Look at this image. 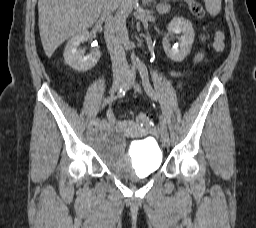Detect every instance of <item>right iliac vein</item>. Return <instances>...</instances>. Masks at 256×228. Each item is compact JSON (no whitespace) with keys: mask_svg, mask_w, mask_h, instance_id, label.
<instances>
[{"mask_svg":"<svg viewBox=\"0 0 256 228\" xmlns=\"http://www.w3.org/2000/svg\"><path fill=\"white\" fill-rule=\"evenodd\" d=\"M125 81H126V78L124 75L116 74L113 77L112 91L113 92L117 91L121 86H123L125 84ZM99 128H101V125L94 127V130H98Z\"/></svg>","mask_w":256,"mask_h":228,"instance_id":"right-iliac-vein-1","label":"right iliac vein"}]
</instances>
